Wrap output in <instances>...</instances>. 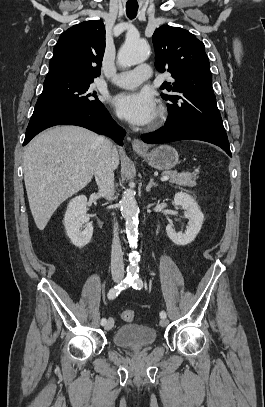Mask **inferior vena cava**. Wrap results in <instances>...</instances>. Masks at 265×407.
<instances>
[{"mask_svg":"<svg viewBox=\"0 0 265 407\" xmlns=\"http://www.w3.org/2000/svg\"><path fill=\"white\" fill-rule=\"evenodd\" d=\"M94 175L99 188V194L111 200L114 196V157L116 148L105 137H99ZM111 273L113 277H124L123 252L119 243L118 225L114 224V237L111 251Z\"/></svg>","mask_w":265,"mask_h":407,"instance_id":"obj_1","label":"inferior vena cava"}]
</instances>
